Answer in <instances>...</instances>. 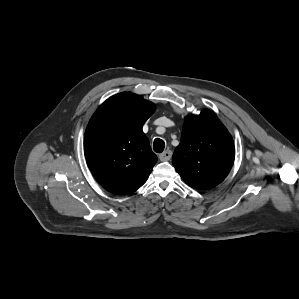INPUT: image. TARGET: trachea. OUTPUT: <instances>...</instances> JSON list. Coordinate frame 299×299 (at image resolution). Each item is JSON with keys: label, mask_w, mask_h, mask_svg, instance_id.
<instances>
[{"label": "trachea", "mask_w": 299, "mask_h": 299, "mask_svg": "<svg viewBox=\"0 0 299 299\" xmlns=\"http://www.w3.org/2000/svg\"><path fill=\"white\" fill-rule=\"evenodd\" d=\"M156 153H162L165 148V142L162 139L156 138L153 144Z\"/></svg>", "instance_id": "obj_1"}]
</instances>
